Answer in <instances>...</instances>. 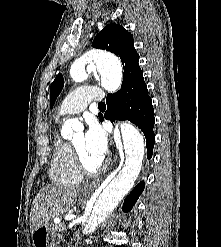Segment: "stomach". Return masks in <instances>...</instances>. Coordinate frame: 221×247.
<instances>
[{
  "mask_svg": "<svg viewBox=\"0 0 221 247\" xmlns=\"http://www.w3.org/2000/svg\"><path fill=\"white\" fill-rule=\"evenodd\" d=\"M80 199H84V195H80ZM55 234L52 224H44L36 228L32 232V244L34 247H53Z\"/></svg>",
  "mask_w": 221,
  "mask_h": 247,
  "instance_id": "stomach-1",
  "label": "stomach"
}]
</instances>
